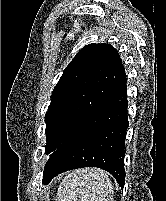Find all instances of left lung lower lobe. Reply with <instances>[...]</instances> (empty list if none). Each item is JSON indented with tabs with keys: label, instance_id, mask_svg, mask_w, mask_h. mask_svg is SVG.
<instances>
[{
	"label": "left lung lower lobe",
	"instance_id": "obj_1",
	"mask_svg": "<svg viewBox=\"0 0 166 201\" xmlns=\"http://www.w3.org/2000/svg\"><path fill=\"white\" fill-rule=\"evenodd\" d=\"M126 78L109 98L50 155L43 184L65 171L99 167L125 183L124 146L127 120Z\"/></svg>",
	"mask_w": 166,
	"mask_h": 201
}]
</instances>
